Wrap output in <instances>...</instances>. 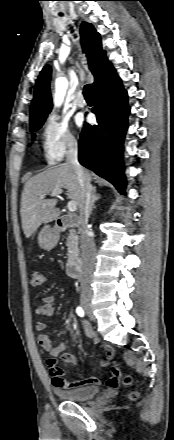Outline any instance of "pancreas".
<instances>
[{"label":"pancreas","instance_id":"pancreas-1","mask_svg":"<svg viewBox=\"0 0 174 440\" xmlns=\"http://www.w3.org/2000/svg\"><path fill=\"white\" fill-rule=\"evenodd\" d=\"M66 245L68 247L69 259L77 257L79 253V249H78V235L76 234L75 229L69 230Z\"/></svg>","mask_w":174,"mask_h":440}]
</instances>
